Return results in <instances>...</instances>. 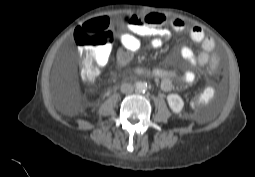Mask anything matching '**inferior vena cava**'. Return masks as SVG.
<instances>
[{
  "label": "inferior vena cava",
  "instance_id": "602c4592",
  "mask_svg": "<svg viewBox=\"0 0 255 177\" xmlns=\"http://www.w3.org/2000/svg\"><path fill=\"white\" fill-rule=\"evenodd\" d=\"M134 91V86L130 83H123L121 85V92L125 94H130Z\"/></svg>",
  "mask_w": 255,
  "mask_h": 177
}]
</instances>
